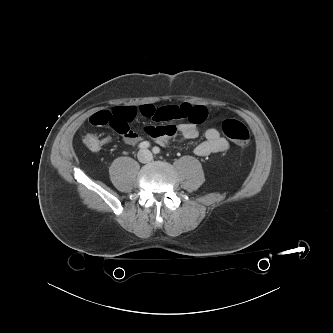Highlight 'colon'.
Masks as SVG:
<instances>
[{
	"label": "colon",
	"instance_id": "colon-1",
	"mask_svg": "<svg viewBox=\"0 0 333 333\" xmlns=\"http://www.w3.org/2000/svg\"><path fill=\"white\" fill-rule=\"evenodd\" d=\"M136 109L129 107L124 111L123 123L119 124V128H124L126 125H129L130 122L136 116ZM96 120L99 126L112 125L116 123L115 116L107 111H100ZM221 129L224 135L229 138L235 144L245 147L248 146L251 140V135L248 128L240 121L236 119H226L221 124ZM84 145L91 151H97L101 148L104 143V140L100 138L96 133L89 132L83 136Z\"/></svg>",
	"mask_w": 333,
	"mask_h": 333
}]
</instances>
